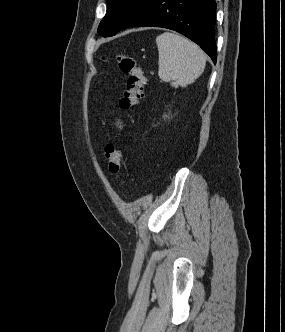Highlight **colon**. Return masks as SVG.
<instances>
[{
	"label": "colon",
	"mask_w": 285,
	"mask_h": 332,
	"mask_svg": "<svg viewBox=\"0 0 285 332\" xmlns=\"http://www.w3.org/2000/svg\"><path fill=\"white\" fill-rule=\"evenodd\" d=\"M115 59L118 69L128 76L127 84L120 100V106L124 110H129L141 102L146 85V76L133 57L117 54ZM104 156L107 160L109 171L112 174H117L120 171L123 160L121 151L113 145H108L104 150Z\"/></svg>",
	"instance_id": "1"
}]
</instances>
